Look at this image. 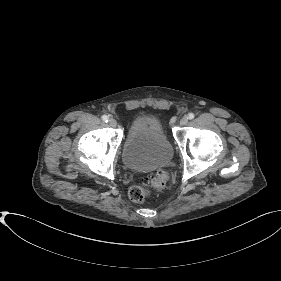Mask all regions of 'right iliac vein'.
<instances>
[{
    "mask_svg": "<svg viewBox=\"0 0 281 281\" xmlns=\"http://www.w3.org/2000/svg\"><path fill=\"white\" fill-rule=\"evenodd\" d=\"M109 125L111 127H116L117 126V121L114 118L109 119Z\"/></svg>",
    "mask_w": 281,
    "mask_h": 281,
    "instance_id": "1",
    "label": "right iliac vein"
}]
</instances>
